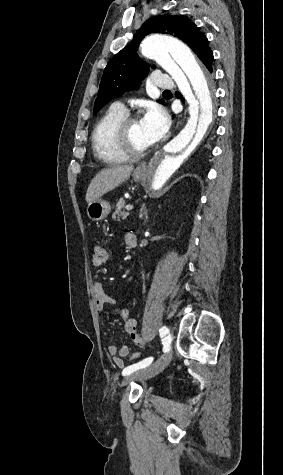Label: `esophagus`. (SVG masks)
<instances>
[{
    "mask_svg": "<svg viewBox=\"0 0 283 475\" xmlns=\"http://www.w3.org/2000/svg\"><path fill=\"white\" fill-rule=\"evenodd\" d=\"M157 158H158V155H155V156H154V161H155ZM136 171H137V172H140L141 170H140V169H137Z\"/></svg>",
    "mask_w": 283,
    "mask_h": 475,
    "instance_id": "esophagus-1",
    "label": "esophagus"
}]
</instances>
